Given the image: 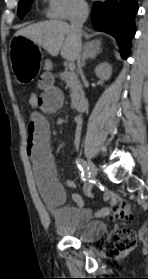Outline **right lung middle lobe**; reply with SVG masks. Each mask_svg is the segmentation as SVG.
<instances>
[{
  "label": "right lung middle lobe",
  "instance_id": "right-lung-middle-lobe-1",
  "mask_svg": "<svg viewBox=\"0 0 148 279\" xmlns=\"http://www.w3.org/2000/svg\"><path fill=\"white\" fill-rule=\"evenodd\" d=\"M32 2L33 0H19V6H18L19 18L24 17Z\"/></svg>",
  "mask_w": 148,
  "mask_h": 279
}]
</instances>
